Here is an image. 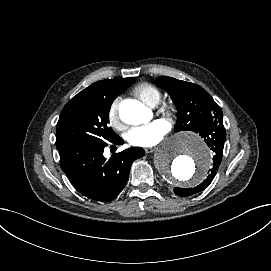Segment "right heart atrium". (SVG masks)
Listing matches in <instances>:
<instances>
[{"label":"right heart atrium","mask_w":271,"mask_h":271,"mask_svg":"<svg viewBox=\"0 0 271 271\" xmlns=\"http://www.w3.org/2000/svg\"><path fill=\"white\" fill-rule=\"evenodd\" d=\"M119 102H120V97L113 98L109 104L108 113H107L109 123L117 130L122 129V125L120 123L118 110H117Z\"/></svg>","instance_id":"obj_1"}]
</instances>
